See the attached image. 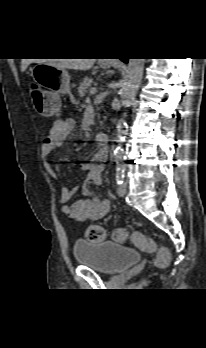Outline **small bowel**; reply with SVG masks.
Here are the masks:
<instances>
[{"label": "small bowel", "mask_w": 206, "mask_h": 348, "mask_svg": "<svg viewBox=\"0 0 206 348\" xmlns=\"http://www.w3.org/2000/svg\"><path fill=\"white\" fill-rule=\"evenodd\" d=\"M74 120L67 118L56 121L50 128L48 134L44 137L41 146L42 161L46 170L54 177L56 173L49 161L50 153L63 144L68 136L74 130ZM105 158V149H100L96 155V159L101 161ZM82 170L86 173L84 182L70 189L63 186L60 189V201L62 202V212L74 221L85 222L98 220L106 216L111 210V204L108 200L98 197H90L81 199L73 204H68L69 200L76 192H80L84 197L90 195V183L98 184L101 182V172L103 165L100 163L86 162L81 165Z\"/></svg>", "instance_id": "1"}]
</instances>
